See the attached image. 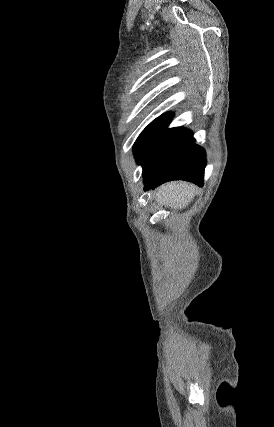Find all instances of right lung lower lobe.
<instances>
[{
	"label": "right lung lower lobe",
	"mask_w": 274,
	"mask_h": 427,
	"mask_svg": "<svg viewBox=\"0 0 274 427\" xmlns=\"http://www.w3.org/2000/svg\"><path fill=\"white\" fill-rule=\"evenodd\" d=\"M164 129L149 148L140 164L143 165L144 189L177 179L203 184L206 155L203 148L194 143L192 132L184 128Z\"/></svg>",
	"instance_id": "obj_1"
}]
</instances>
